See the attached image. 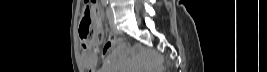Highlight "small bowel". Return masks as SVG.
Wrapping results in <instances>:
<instances>
[{
  "instance_id": "c3829d8e",
  "label": "small bowel",
  "mask_w": 267,
  "mask_h": 72,
  "mask_svg": "<svg viewBox=\"0 0 267 72\" xmlns=\"http://www.w3.org/2000/svg\"><path fill=\"white\" fill-rule=\"evenodd\" d=\"M117 42H118L117 37L114 35H111L108 41L103 46L101 55L104 60L105 66L103 67V69H100V70H96L97 51H85L82 54V61H83L85 68L89 70L90 72H96V71L97 72H109L108 71L109 68L106 67V65H108L111 62L109 52L117 44Z\"/></svg>"
}]
</instances>
